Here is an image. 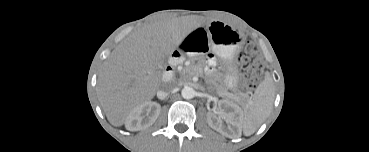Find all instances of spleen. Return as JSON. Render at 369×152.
Wrapping results in <instances>:
<instances>
[{
	"label": "spleen",
	"instance_id": "1",
	"mask_svg": "<svg viewBox=\"0 0 369 152\" xmlns=\"http://www.w3.org/2000/svg\"><path fill=\"white\" fill-rule=\"evenodd\" d=\"M274 100L271 80L266 77L257 87L250 106L245 110L242 127L245 131L254 133L268 117Z\"/></svg>",
	"mask_w": 369,
	"mask_h": 152
}]
</instances>
